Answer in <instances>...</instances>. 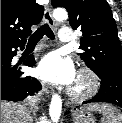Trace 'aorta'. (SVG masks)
Wrapping results in <instances>:
<instances>
[{
	"label": "aorta",
	"instance_id": "obj_1",
	"mask_svg": "<svg viewBox=\"0 0 122 123\" xmlns=\"http://www.w3.org/2000/svg\"><path fill=\"white\" fill-rule=\"evenodd\" d=\"M53 17L58 21H62L67 19L68 14L65 9L57 8L53 12ZM61 109H62V99L59 95L56 94L52 97L49 106V115L53 123H57L59 121L61 116Z\"/></svg>",
	"mask_w": 122,
	"mask_h": 123
}]
</instances>
